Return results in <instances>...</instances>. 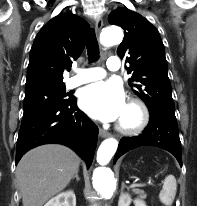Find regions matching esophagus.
Returning <instances> with one entry per match:
<instances>
[{
    "mask_svg": "<svg viewBox=\"0 0 197 206\" xmlns=\"http://www.w3.org/2000/svg\"><path fill=\"white\" fill-rule=\"evenodd\" d=\"M103 27V21L101 18H98L96 21H95V31L99 34L101 29ZM99 135L102 137V138H106V137H109L110 136V133L102 128L99 129Z\"/></svg>",
    "mask_w": 197,
    "mask_h": 206,
    "instance_id": "obj_1",
    "label": "esophagus"
}]
</instances>
